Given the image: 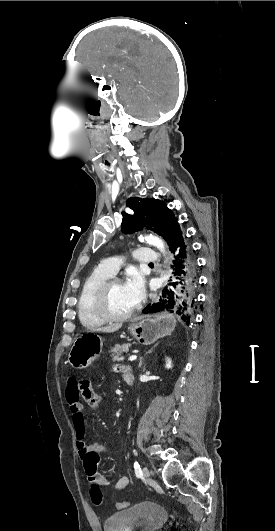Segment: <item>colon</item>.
<instances>
[{
  "instance_id": "colon-1",
  "label": "colon",
  "mask_w": 275,
  "mask_h": 531,
  "mask_svg": "<svg viewBox=\"0 0 275 531\" xmlns=\"http://www.w3.org/2000/svg\"><path fill=\"white\" fill-rule=\"evenodd\" d=\"M79 390L82 392L81 399L83 402H87L91 407H97L100 405L101 399L98 394L97 390V383L96 381H91L89 378H85V381H80L79 383ZM92 499L95 501V506L97 508H100L102 506V503L100 502L101 499V491L99 489V486L97 484H94L92 486ZM127 502H117L115 504V507L118 511H123L128 508Z\"/></svg>"
}]
</instances>
